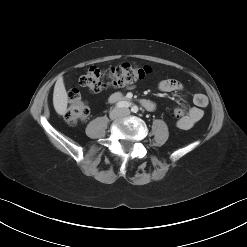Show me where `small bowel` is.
<instances>
[{
    "mask_svg": "<svg viewBox=\"0 0 247 247\" xmlns=\"http://www.w3.org/2000/svg\"><path fill=\"white\" fill-rule=\"evenodd\" d=\"M158 88L162 92H177L183 89L182 83L175 79L162 80L158 84ZM143 106L148 110L155 109V103L150 100H144ZM194 106L188 113L177 120V127L182 130L192 128L204 115L203 108L208 105V98L205 94L197 93L193 97Z\"/></svg>",
    "mask_w": 247,
    "mask_h": 247,
    "instance_id": "small-bowel-1",
    "label": "small bowel"
}]
</instances>
